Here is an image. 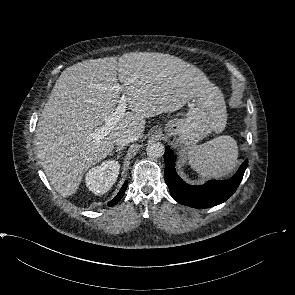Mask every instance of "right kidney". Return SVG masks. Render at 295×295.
I'll return each instance as SVG.
<instances>
[{"label":"right kidney","instance_id":"right-kidney-1","mask_svg":"<svg viewBox=\"0 0 295 295\" xmlns=\"http://www.w3.org/2000/svg\"><path fill=\"white\" fill-rule=\"evenodd\" d=\"M120 165L118 161L109 160L103 162L88 171L85 178L86 186L96 195L106 193L116 182Z\"/></svg>","mask_w":295,"mask_h":295}]
</instances>
